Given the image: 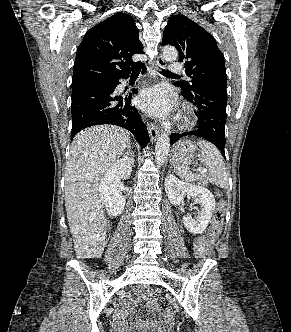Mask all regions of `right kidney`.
Here are the masks:
<instances>
[{
    "label": "right kidney",
    "mask_w": 291,
    "mask_h": 332,
    "mask_svg": "<svg viewBox=\"0 0 291 332\" xmlns=\"http://www.w3.org/2000/svg\"><path fill=\"white\" fill-rule=\"evenodd\" d=\"M129 158L118 160L116 164L105 174L99 185V194L107 214L111 217L119 216L124 210L126 198L122 196L119 189V182L127 178L129 172Z\"/></svg>",
    "instance_id": "ca27d5eb"
}]
</instances>
